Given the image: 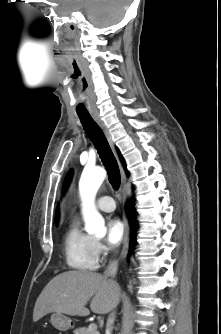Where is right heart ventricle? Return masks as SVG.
<instances>
[{
    "label": "right heart ventricle",
    "mask_w": 221,
    "mask_h": 334,
    "mask_svg": "<svg viewBox=\"0 0 221 334\" xmlns=\"http://www.w3.org/2000/svg\"><path fill=\"white\" fill-rule=\"evenodd\" d=\"M67 265L78 271H94L99 266L96 240L81 231L76 219L72 220L63 237Z\"/></svg>",
    "instance_id": "e07e8e85"
}]
</instances>
